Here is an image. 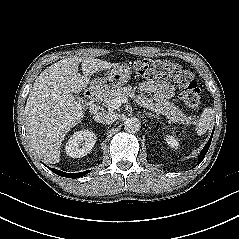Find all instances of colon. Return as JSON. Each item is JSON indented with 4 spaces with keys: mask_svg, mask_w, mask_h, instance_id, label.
I'll list each match as a JSON object with an SVG mask.
<instances>
[{
    "mask_svg": "<svg viewBox=\"0 0 239 239\" xmlns=\"http://www.w3.org/2000/svg\"><path fill=\"white\" fill-rule=\"evenodd\" d=\"M136 72L142 78H167L179 89L186 107L195 114L202 112L201 92L193 74L171 60L144 59L135 64Z\"/></svg>",
    "mask_w": 239,
    "mask_h": 239,
    "instance_id": "obj_1",
    "label": "colon"
}]
</instances>
